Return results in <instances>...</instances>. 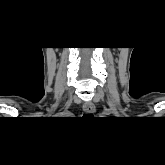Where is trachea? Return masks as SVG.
<instances>
[{
    "mask_svg": "<svg viewBox=\"0 0 165 165\" xmlns=\"http://www.w3.org/2000/svg\"><path fill=\"white\" fill-rule=\"evenodd\" d=\"M85 117H92V115H85Z\"/></svg>",
    "mask_w": 165,
    "mask_h": 165,
    "instance_id": "trachea-1",
    "label": "trachea"
}]
</instances>
